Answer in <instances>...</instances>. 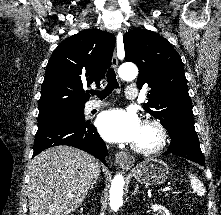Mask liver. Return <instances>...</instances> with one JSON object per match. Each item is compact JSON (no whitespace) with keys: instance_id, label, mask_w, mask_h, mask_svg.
Returning <instances> with one entry per match:
<instances>
[{"instance_id":"6515ba94","label":"liver","mask_w":221,"mask_h":215,"mask_svg":"<svg viewBox=\"0 0 221 215\" xmlns=\"http://www.w3.org/2000/svg\"><path fill=\"white\" fill-rule=\"evenodd\" d=\"M100 162L70 146H54L39 153L30 164L29 215H69L85 200Z\"/></svg>"}]
</instances>
